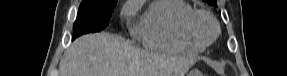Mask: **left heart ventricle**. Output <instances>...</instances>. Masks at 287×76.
<instances>
[{
  "label": "left heart ventricle",
  "mask_w": 287,
  "mask_h": 76,
  "mask_svg": "<svg viewBox=\"0 0 287 76\" xmlns=\"http://www.w3.org/2000/svg\"><path fill=\"white\" fill-rule=\"evenodd\" d=\"M197 30L203 38H209L213 34V27L205 18L199 19Z\"/></svg>",
  "instance_id": "obj_1"
}]
</instances>
